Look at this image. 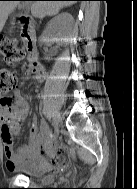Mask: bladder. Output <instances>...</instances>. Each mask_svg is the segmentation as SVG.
Listing matches in <instances>:
<instances>
[{"label":"bladder","mask_w":137,"mask_h":189,"mask_svg":"<svg viewBox=\"0 0 137 189\" xmlns=\"http://www.w3.org/2000/svg\"><path fill=\"white\" fill-rule=\"evenodd\" d=\"M27 176L30 178H38L44 180L47 183H53L55 178L50 175L46 170L35 168L27 173Z\"/></svg>","instance_id":"1"}]
</instances>
